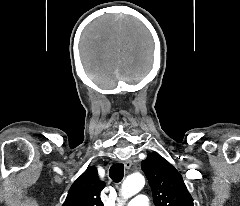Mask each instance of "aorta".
I'll return each mask as SVG.
<instances>
[{"label": "aorta", "mask_w": 240, "mask_h": 206, "mask_svg": "<svg viewBox=\"0 0 240 206\" xmlns=\"http://www.w3.org/2000/svg\"><path fill=\"white\" fill-rule=\"evenodd\" d=\"M144 185L145 179L141 174L135 173L129 175L122 183L120 190L121 196L123 197V199H128L141 191Z\"/></svg>", "instance_id": "762f6f07"}]
</instances>
